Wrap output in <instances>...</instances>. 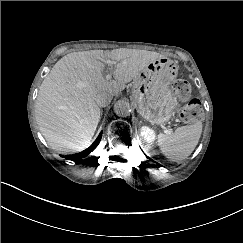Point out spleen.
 I'll return each instance as SVG.
<instances>
[{
    "label": "spleen",
    "instance_id": "obj_1",
    "mask_svg": "<svg viewBox=\"0 0 243 243\" xmlns=\"http://www.w3.org/2000/svg\"><path fill=\"white\" fill-rule=\"evenodd\" d=\"M202 132V123L179 127L171 134L159 133L158 145L162 153L173 160L186 159L195 149Z\"/></svg>",
    "mask_w": 243,
    "mask_h": 243
}]
</instances>
